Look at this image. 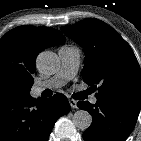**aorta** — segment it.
Wrapping results in <instances>:
<instances>
[{"instance_id":"762f6f07","label":"aorta","mask_w":141,"mask_h":141,"mask_svg":"<svg viewBox=\"0 0 141 141\" xmlns=\"http://www.w3.org/2000/svg\"><path fill=\"white\" fill-rule=\"evenodd\" d=\"M36 65L39 71L45 74H54L59 70L60 61L54 52L43 51L38 55ZM73 123L77 128L86 130L92 123V116L88 111L78 110L73 115Z\"/></svg>"}]
</instances>
